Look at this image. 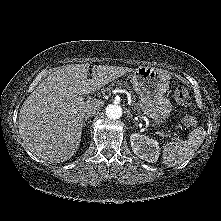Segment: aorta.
<instances>
[{"label": "aorta", "instance_id": "aorta-1", "mask_svg": "<svg viewBox=\"0 0 221 221\" xmlns=\"http://www.w3.org/2000/svg\"><path fill=\"white\" fill-rule=\"evenodd\" d=\"M106 115L110 119H119L122 116V108L117 104H110L106 108Z\"/></svg>", "mask_w": 221, "mask_h": 221}]
</instances>
